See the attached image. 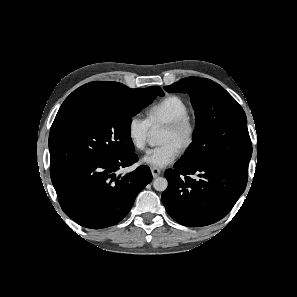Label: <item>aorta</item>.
Segmentation results:
<instances>
[{
	"instance_id": "1",
	"label": "aorta",
	"mask_w": 297,
	"mask_h": 297,
	"mask_svg": "<svg viewBox=\"0 0 297 297\" xmlns=\"http://www.w3.org/2000/svg\"><path fill=\"white\" fill-rule=\"evenodd\" d=\"M153 187L155 190L163 192L168 187V182L166 178L158 177L153 181Z\"/></svg>"
}]
</instances>
